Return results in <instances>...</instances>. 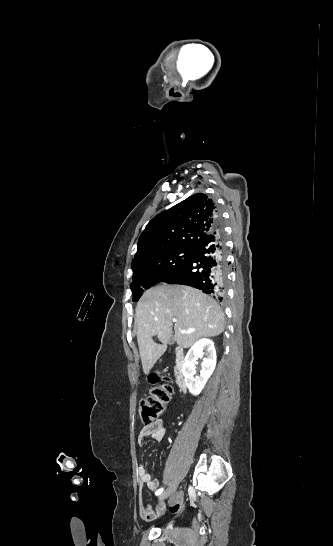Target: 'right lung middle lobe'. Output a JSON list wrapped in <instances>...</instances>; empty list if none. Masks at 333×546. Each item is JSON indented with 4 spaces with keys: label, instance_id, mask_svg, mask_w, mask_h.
Returning a JSON list of instances; mask_svg holds the SVG:
<instances>
[{
    "label": "right lung middle lobe",
    "instance_id": "1",
    "mask_svg": "<svg viewBox=\"0 0 333 546\" xmlns=\"http://www.w3.org/2000/svg\"><path fill=\"white\" fill-rule=\"evenodd\" d=\"M193 247H180L167 250L144 263L140 269L133 272V282L130 287L133 301H138L143 288L163 281L170 273L183 264L191 256Z\"/></svg>",
    "mask_w": 333,
    "mask_h": 546
}]
</instances>
